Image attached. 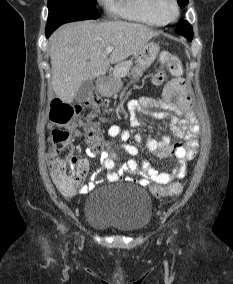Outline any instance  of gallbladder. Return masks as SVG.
Returning a JSON list of instances; mask_svg holds the SVG:
<instances>
[{
	"mask_svg": "<svg viewBox=\"0 0 233 284\" xmlns=\"http://www.w3.org/2000/svg\"><path fill=\"white\" fill-rule=\"evenodd\" d=\"M93 90H94L93 81L92 80L84 81L75 95V101L78 103L86 101L91 96Z\"/></svg>",
	"mask_w": 233,
	"mask_h": 284,
	"instance_id": "1",
	"label": "gallbladder"
}]
</instances>
